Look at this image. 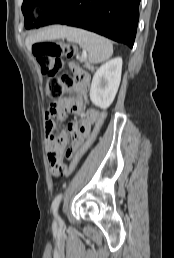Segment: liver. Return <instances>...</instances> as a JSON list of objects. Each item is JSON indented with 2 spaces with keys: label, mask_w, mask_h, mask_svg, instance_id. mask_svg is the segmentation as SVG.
<instances>
[{
  "label": "liver",
  "mask_w": 174,
  "mask_h": 258,
  "mask_svg": "<svg viewBox=\"0 0 174 258\" xmlns=\"http://www.w3.org/2000/svg\"><path fill=\"white\" fill-rule=\"evenodd\" d=\"M64 29H65V27H61V26L47 28V29L37 33L36 35L27 38L26 43L28 46H30V44L35 41L60 38V37H62Z\"/></svg>",
  "instance_id": "liver-1"
}]
</instances>
